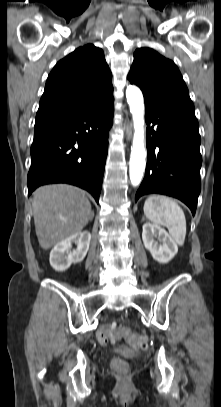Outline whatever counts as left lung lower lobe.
Returning <instances> with one entry per match:
<instances>
[{
    "instance_id": "obj_1",
    "label": "left lung lower lobe",
    "mask_w": 221,
    "mask_h": 407,
    "mask_svg": "<svg viewBox=\"0 0 221 407\" xmlns=\"http://www.w3.org/2000/svg\"><path fill=\"white\" fill-rule=\"evenodd\" d=\"M147 165L135 201L158 193L178 198L195 214L201 190V138L192 101L145 102Z\"/></svg>"
}]
</instances>
